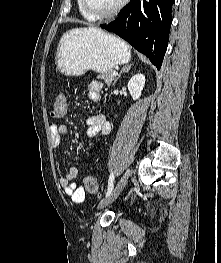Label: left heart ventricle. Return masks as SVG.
I'll list each match as a JSON object with an SVG mask.
<instances>
[{"instance_id": "obj_1", "label": "left heart ventricle", "mask_w": 221, "mask_h": 263, "mask_svg": "<svg viewBox=\"0 0 221 263\" xmlns=\"http://www.w3.org/2000/svg\"><path fill=\"white\" fill-rule=\"evenodd\" d=\"M121 0H87L88 7L94 13H104L115 8Z\"/></svg>"}]
</instances>
